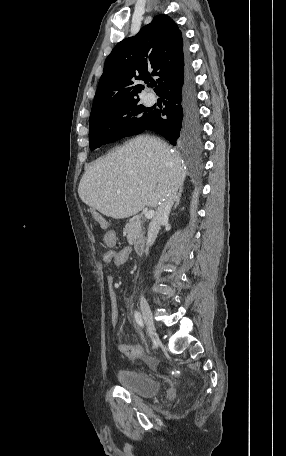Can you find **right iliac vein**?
Listing matches in <instances>:
<instances>
[{
  "label": "right iliac vein",
  "mask_w": 286,
  "mask_h": 456,
  "mask_svg": "<svg viewBox=\"0 0 286 456\" xmlns=\"http://www.w3.org/2000/svg\"><path fill=\"white\" fill-rule=\"evenodd\" d=\"M140 308L142 311V315L147 326L148 332L150 335L155 334V324L152 316V312L150 306L145 298L140 299Z\"/></svg>",
  "instance_id": "obj_1"
}]
</instances>
